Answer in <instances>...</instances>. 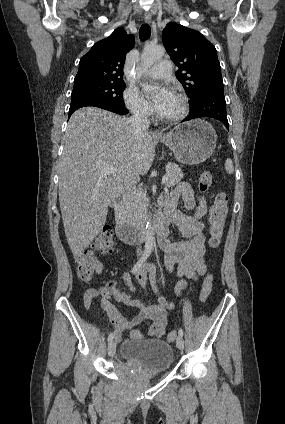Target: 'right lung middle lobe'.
<instances>
[{"mask_svg":"<svg viewBox=\"0 0 285 424\" xmlns=\"http://www.w3.org/2000/svg\"><path fill=\"white\" fill-rule=\"evenodd\" d=\"M124 81H94L74 84L71 100L92 98L124 106Z\"/></svg>","mask_w":285,"mask_h":424,"instance_id":"obj_1","label":"right lung middle lobe"}]
</instances>
